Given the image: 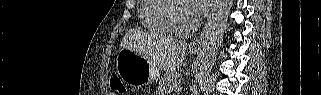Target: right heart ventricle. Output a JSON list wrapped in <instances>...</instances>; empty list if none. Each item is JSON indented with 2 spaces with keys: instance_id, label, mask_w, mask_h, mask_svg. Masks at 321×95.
I'll use <instances>...</instances> for the list:
<instances>
[{
  "instance_id": "e07e8e85",
  "label": "right heart ventricle",
  "mask_w": 321,
  "mask_h": 95,
  "mask_svg": "<svg viewBox=\"0 0 321 95\" xmlns=\"http://www.w3.org/2000/svg\"><path fill=\"white\" fill-rule=\"evenodd\" d=\"M169 0H143L140 5V20L154 34L168 35L172 31L163 20V10Z\"/></svg>"
}]
</instances>
